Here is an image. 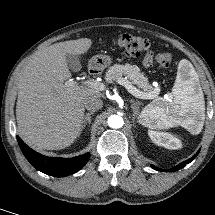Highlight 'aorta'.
Here are the masks:
<instances>
[{
  "instance_id": "1",
  "label": "aorta",
  "mask_w": 215,
  "mask_h": 215,
  "mask_svg": "<svg viewBox=\"0 0 215 215\" xmlns=\"http://www.w3.org/2000/svg\"><path fill=\"white\" fill-rule=\"evenodd\" d=\"M124 124V121H123V118L119 115H111L109 118H108V125L111 127V128H121Z\"/></svg>"
}]
</instances>
